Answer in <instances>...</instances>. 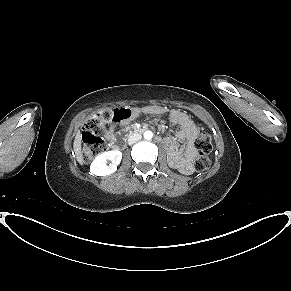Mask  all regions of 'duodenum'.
Segmentation results:
<instances>
[{"mask_svg":"<svg viewBox=\"0 0 291 291\" xmlns=\"http://www.w3.org/2000/svg\"><path fill=\"white\" fill-rule=\"evenodd\" d=\"M142 132V127L134 124L125 128V130L120 131L116 137L112 140V148L116 152H121L127 145L126 140L134 134Z\"/></svg>","mask_w":291,"mask_h":291,"instance_id":"1","label":"duodenum"}]
</instances>
